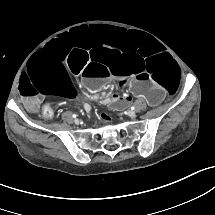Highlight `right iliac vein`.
Segmentation results:
<instances>
[{"label": "right iliac vein", "instance_id": "obj_1", "mask_svg": "<svg viewBox=\"0 0 215 215\" xmlns=\"http://www.w3.org/2000/svg\"><path fill=\"white\" fill-rule=\"evenodd\" d=\"M76 124H79L80 123V120H78V119H75V121H74Z\"/></svg>", "mask_w": 215, "mask_h": 215}]
</instances>
